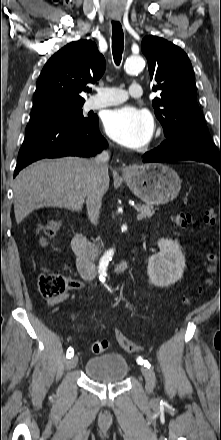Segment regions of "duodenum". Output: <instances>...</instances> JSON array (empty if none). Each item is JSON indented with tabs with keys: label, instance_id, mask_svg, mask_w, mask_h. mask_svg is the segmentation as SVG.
Returning a JSON list of instances; mask_svg holds the SVG:
<instances>
[{
	"label": "duodenum",
	"instance_id": "duodenum-1",
	"mask_svg": "<svg viewBox=\"0 0 221 440\" xmlns=\"http://www.w3.org/2000/svg\"><path fill=\"white\" fill-rule=\"evenodd\" d=\"M71 247L76 256V268L79 275L84 279H94L97 275V269L87 252L86 236L83 234H75L72 238ZM130 258L131 256L126 257L116 265L115 269L118 274L123 273L128 268Z\"/></svg>",
	"mask_w": 221,
	"mask_h": 440
}]
</instances>
